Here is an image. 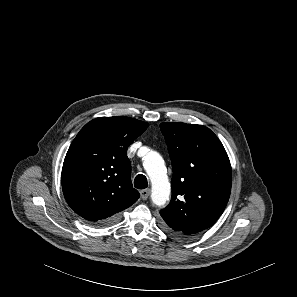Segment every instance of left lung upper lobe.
<instances>
[{
  "label": "left lung upper lobe",
  "instance_id": "obj_1",
  "mask_svg": "<svg viewBox=\"0 0 297 297\" xmlns=\"http://www.w3.org/2000/svg\"><path fill=\"white\" fill-rule=\"evenodd\" d=\"M172 162V199L160 210L162 225L181 237L212 226L231 192L232 170L217 136L203 125L163 122Z\"/></svg>",
  "mask_w": 297,
  "mask_h": 297
}]
</instances>
